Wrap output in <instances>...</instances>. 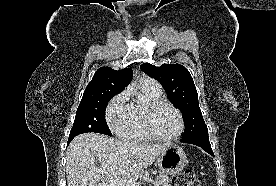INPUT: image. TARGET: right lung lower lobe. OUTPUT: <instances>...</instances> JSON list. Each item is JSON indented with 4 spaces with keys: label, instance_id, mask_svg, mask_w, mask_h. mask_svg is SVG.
I'll use <instances>...</instances> for the list:
<instances>
[{
    "label": "right lung lower lobe",
    "instance_id": "right-lung-lower-lobe-1",
    "mask_svg": "<svg viewBox=\"0 0 276 186\" xmlns=\"http://www.w3.org/2000/svg\"><path fill=\"white\" fill-rule=\"evenodd\" d=\"M74 137H69L68 139V143L73 139Z\"/></svg>",
    "mask_w": 276,
    "mask_h": 186
}]
</instances>
